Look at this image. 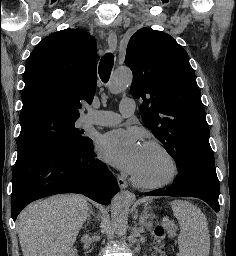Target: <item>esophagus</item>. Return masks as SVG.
Wrapping results in <instances>:
<instances>
[{"label": "esophagus", "instance_id": "34e87169", "mask_svg": "<svg viewBox=\"0 0 236 256\" xmlns=\"http://www.w3.org/2000/svg\"><path fill=\"white\" fill-rule=\"evenodd\" d=\"M108 47L111 51L116 50L117 48V35L116 33H110L108 36ZM118 185L121 189L127 188V182L126 179L122 176H118Z\"/></svg>", "mask_w": 236, "mask_h": 256}]
</instances>
